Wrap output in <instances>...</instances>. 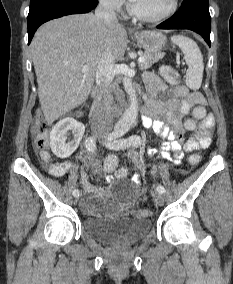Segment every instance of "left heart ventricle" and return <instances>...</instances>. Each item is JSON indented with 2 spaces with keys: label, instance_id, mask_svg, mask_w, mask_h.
Masks as SVG:
<instances>
[{
  "label": "left heart ventricle",
  "instance_id": "obj_1",
  "mask_svg": "<svg viewBox=\"0 0 233 284\" xmlns=\"http://www.w3.org/2000/svg\"><path fill=\"white\" fill-rule=\"evenodd\" d=\"M134 8L147 16H157L164 13L171 0H132Z\"/></svg>",
  "mask_w": 233,
  "mask_h": 284
}]
</instances>
